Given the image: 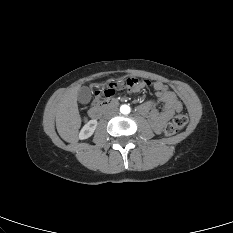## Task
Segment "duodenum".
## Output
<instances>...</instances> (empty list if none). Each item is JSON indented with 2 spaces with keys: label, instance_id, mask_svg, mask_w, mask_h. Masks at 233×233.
I'll use <instances>...</instances> for the list:
<instances>
[{
  "label": "duodenum",
  "instance_id": "duodenum-1",
  "mask_svg": "<svg viewBox=\"0 0 233 233\" xmlns=\"http://www.w3.org/2000/svg\"><path fill=\"white\" fill-rule=\"evenodd\" d=\"M116 105H117L116 100L111 99V100L104 101L101 104L91 107L89 110V116L90 118L97 120L101 118L104 113H106L108 110L112 109Z\"/></svg>",
  "mask_w": 233,
  "mask_h": 233
}]
</instances>
